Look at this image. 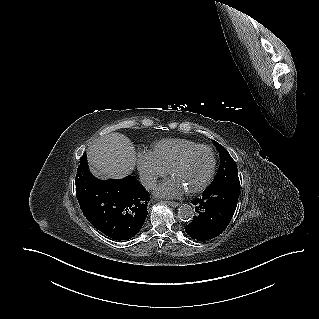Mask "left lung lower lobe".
Wrapping results in <instances>:
<instances>
[{
    "instance_id": "obj_1",
    "label": "left lung lower lobe",
    "mask_w": 319,
    "mask_h": 319,
    "mask_svg": "<svg viewBox=\"0 0 319 319\" xmlns=\"http://www.w3.org/2000/svg\"><path fill=\"white\" fill-rule=\"evenodd\" d=\"M240 194V181L207 188L192 203L196 216L185 227L186 233L197 241H206L221 234L230 223Z\"/></svg>"
}]
</instances>
